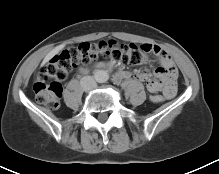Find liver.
I'll use <instances>...</instances> for the list:
<instances>
[{
	"label": "liver",
	"mask_w": 219,
	"mask_h": 174,
	"mask_svg": "<svg viewBox=\"0 0 219 174\" xmlns=\"http://www.w3.org/2000/svg\"><path fill=\"white\" fill-rule=\"evenodd\" d=\"M63 48V46H57L56 48H54L45 58V60H49L51 57H53L55 54H57L61 49Z\"/></svg>",
	"instance_id": "6515ba94"
}]
</instances>
